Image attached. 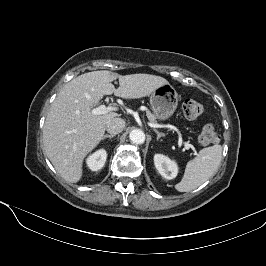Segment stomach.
I'll list each match as a JSON object with an SVG mask.
<instances>
[{
	"label": "stomach",
	"mask_w": 266,
	"mask_h": 266,
	"mask_svg": "<svg viewBox=\"0 0 266 266\" xmlns=\"http://www.w3.org/2000/svg\"><path fill=\"white\" fill-rule=\"evenodd\" d=\"M150 104L156 119L166 120L177 108L178 94L171 84L162 85L150 95Z\"/></svg>",
	"instance_id": "1"
}]
</instances>
